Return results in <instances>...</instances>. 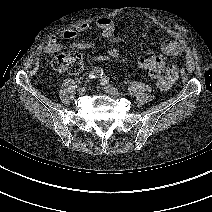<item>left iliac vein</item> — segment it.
Masks as SVG:
<instances>
[{
    "label": "left iliac vein",
    "instance_id": "1",
    "mask_svg": "<svg viewBox=\"0 0 212 212\" xmlns=\"http://www.w3.org/2000/svg\"><path fill=\"white\" fill-rule=\"evenodd\" d=\"M101 85H102L103 90L106 93H108V94H110L112 96H116L117 97V96H121L122 95L115 87H113L111 85L102 84V83H101Z\"/></svg>",
    "mask_w": 212,
    "mask_h": 212
}]
</instances>
